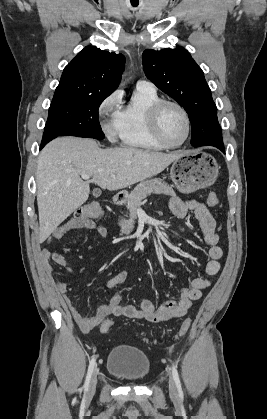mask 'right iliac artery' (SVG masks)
Wrapping results in <instances>:
<instances>
[{
  "label": "right iliac artery",
  "instance_id": "right-iliac-artery-1",
  "mask_svg": "<svg viewBox=\"0 0 267 419\" xmlns=\"http://www.w3.org/2000/svg\"><path fill=\"white\" fill-rule=\"evenodd\" d=\"M95 364H96V359H95V357H93L92 360L90 361V364H89V367H88V371H87L86 380H85V383H84V386H83L84 392H87L88 391V387H89L91 375L93 373Z\"/></svg>",
  "mask_w": 267,
  "mask_h": 419
}]
</instances>
